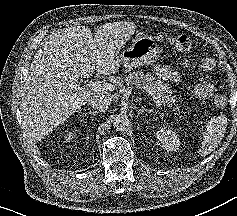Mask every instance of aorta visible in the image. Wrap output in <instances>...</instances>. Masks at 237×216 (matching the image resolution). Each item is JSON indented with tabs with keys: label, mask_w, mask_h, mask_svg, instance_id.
Here are the masks:
<instances>
[{
	"label": "aorta",
	"mask_w": 237,
	"mask_h": 216,
	"mask_svg": "<svg viewBox=\"0 0 237 216\" xmlns=\"http://www.w3.org/2000/svg\"><path fill=\"white\" fill-rule=\"evenodd\" d=\"M128 124V117L124 116L123 114H117L112 119V126L116 131L125 130Z\"/></svg>",
	"instance_id": "aorta-1"
}]
</instances>
